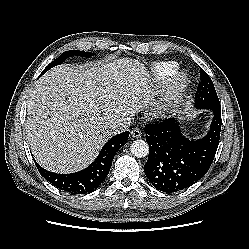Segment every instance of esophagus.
<instances>
[{"label":"esophagus","mask_w":249,"mask_h":249,"mask_svg":"<svg viewBox=\"0 0 249 249\" xmlns=\"http://www.w3.org/2000/svg\"><path fill=\"white\" fill-rule=\"evenodd\" d=\"M131 137L132 138H140L141 137V131L137 128H134L132 131H131Z\"/></svg>","instance_id":"34e87169"}]
</instances>
